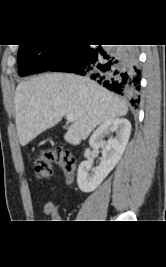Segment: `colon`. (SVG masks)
<instances>
[{"instance_id":"obj_1","label":"colon","mask_w":166,"mask_h":267,"mask_svg":"<svg viewBox=\"0 0 166 267\" xmlns=\"http://www.w3.org/2000/svg\"><path fill=\"white\" fill-rule=\"evenodd\" d=\"M59 165L68 179L75 171V159L67 150L47 149L41 152L34 162V172L37 178L47 180L52 175L53 165Z\"/></svg>"}]
</instances>
